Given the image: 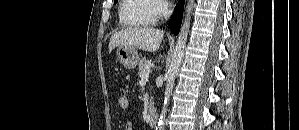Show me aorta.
I'll list each match as a JSON object with an SVG mask.
<instances>
[{
	"instance_id": "1",
	"label": "aorta",
	"mask_w": 299,
	"mask_h": 130,
	"mask_svg": "<svg viewBox=\"0 0 299 130\" xmlns=\"http://www.w3.org/2000/svg\"><path fill=\"white\" fill-rule=\"evenodd\" d=\"M193 0L189 1V4L186 7V16L184 23L182 24L180 34L177 39V43L174 49V53L172 56V59L170 61L169 67L166 72V88H165V98H164V105L162 107V112L159 117L158 124L156 126V130H164L165 128V118H166V112H167V106L169 104L170 95L172 93V89L174 86V82L176 79V76L178 74V71L180 69V66L183 62V57L185 53V47L187 42V36H188V29L190 27V14L192 12V6H193Z\"/></svg>"
}]
</instances>
